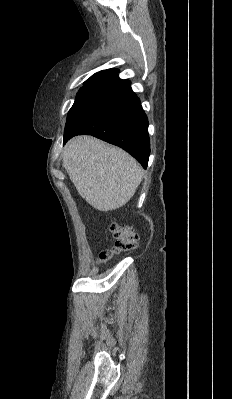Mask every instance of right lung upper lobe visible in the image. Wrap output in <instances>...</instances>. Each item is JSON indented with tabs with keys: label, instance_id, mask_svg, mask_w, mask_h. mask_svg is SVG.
I'll list each match as a JSON object with an SVG mask.
<instances>
[{
	"label": "right lung upper lobe",
	"instance_id": "1",
	"mask_svg": "<svg viewBox=\"0 0 232 399\" xmlns=\"http://www.w3.org/2000/svg\"><path fill=\"white\" fill-rule=\"evenodd\" d=\"M118 72L119 71L117 69L103 70L91 76L87 81L99 84L113 78L114 76H117Z\"/></svg>",
	"mask_w": 232,
	"mask_h": 399
}]
</instances>
